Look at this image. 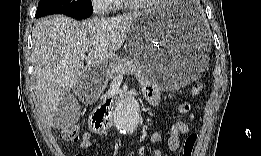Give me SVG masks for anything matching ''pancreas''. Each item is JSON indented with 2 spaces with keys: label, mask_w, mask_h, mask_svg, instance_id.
Masks as SVG:
<instances>
[{
  "label": "pancreas",
  "mask_w": 261,
  "mask_h": 156,
  "mask_svg": "<svg viewBox=\"0 0 261 156\" xmlns=\"http://www.w3.org/2000/svg\"><path fill=\"white\" fill-rule=\"evenodd\" d=\"M144 72L143 66L137 60L129 57H124L110 63L106 72V79L112 80L117 75L133 74L141 76Z\"/></svg>",
  "instance_id": "obj_1"
}]
</instances>
